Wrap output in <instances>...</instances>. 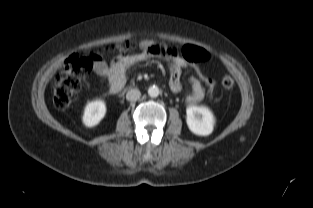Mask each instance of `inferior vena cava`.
I'll return each mask as SVG.
<instances>
[{
    "label": "inferior vena cava",
    "mask_w": 313,
    "mask_h": 208,
    "mask_svg": "<svg viewBox=\"0 0 313 208\" xmlns=\"http://www.w3.org/2000/svg\"><path fill=\"white\" fill-rule=\"evenodd\" d=\"M141 96V92L138 89H131L126 94L128 101H137Z\"/></svg>",
    "instance_id": "1"
}]
</instances>
